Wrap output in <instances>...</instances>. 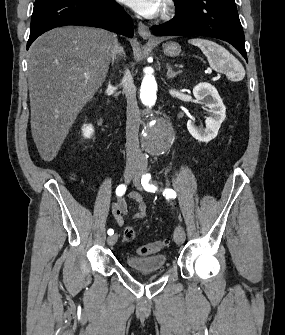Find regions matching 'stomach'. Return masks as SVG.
Listing matches in <instances>:
<instances>
[{
    "label": "stomach",
    "instance_id": "stomach-1",
    "mask_svg": "<svg viewBox=\"0 0 285 335\" xmlns=\"http://www.w3.org/2000/svg\"><path fill=\"white\" fill-rule=\"evenodd\" d=\"M163 52L166 56L175 58V56H179L181 48L179 44H176V42H167V44H163Z\"/></svg>",
    "mask_w": 285,
    "mask_h": 335
}]
</instances>
